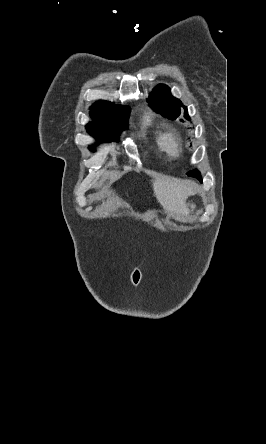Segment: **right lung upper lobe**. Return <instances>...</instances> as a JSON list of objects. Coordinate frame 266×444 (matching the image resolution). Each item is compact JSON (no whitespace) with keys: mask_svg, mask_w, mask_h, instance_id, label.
Instances as JSON below:
<instances>
[{"mask_svg":"<svg viewBox=\"0 0 266 444\" xmlns=\"http://www.w3.org/2000/svg\"><path fill=\"white\" fill-rule=\"evenodd\" d=\"M108 104H113V103L107 102V101H98L95 104H93L90 109H91V111H93V110H96V109H98L104 105H108Z\"/></svg>","mask_w":266,"mask_h":444,"instance_id":"cb5924a9","label":"right lung upper lobe"}]
</instances>
